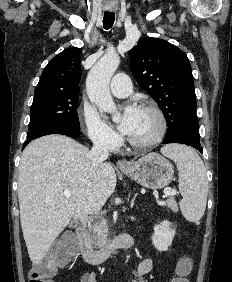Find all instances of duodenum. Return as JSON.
I'll use <instances>...</instances> for the list:
<instances>
[{"label":"duodenum","instance_id":"duodenum-1","mask_svg":"<svg viewBox=\"0 0 232 282\" xmlns=\"http://www.w3.org/2000/svg\"><path fill=\"white\" fill-rule=\"evenodd\" d=\"M76 242L83 260L91 265L101 264L106 261L115 250L130 248L134 244L133 238L130 235L124 234L113 238L103 247L95 249L88 241L84 227L77 229Z\"/></svg>","mask_w":232,"mask_h":282}]
</instances>
